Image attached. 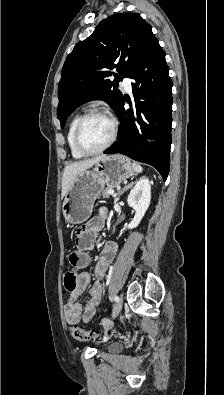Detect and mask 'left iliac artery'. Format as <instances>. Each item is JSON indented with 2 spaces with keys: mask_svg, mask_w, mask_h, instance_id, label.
<instances>
[{
  "mask_svg": "<svg viewBox=\"0 0 224 395\" xmlns=\"http://www.w3.org/2000/svg\"><path fill=\"white\" fill-rule=\"evenodd\" d=\"M111 299H113L115 302H118L119 298L117 296H111Z\"/></svg>",
  "mask_w": 224,
  "mask_h": 395,
  "instance_id": "1",
  "label": "left iliac artery"
}]
</instances>
